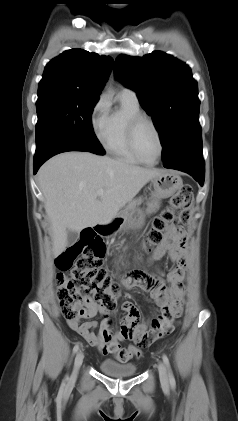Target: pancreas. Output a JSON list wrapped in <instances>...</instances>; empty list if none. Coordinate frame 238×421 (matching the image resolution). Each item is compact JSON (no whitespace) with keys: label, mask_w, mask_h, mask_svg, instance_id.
I'll use <instances>...</instances> for the list:
<instances>
[{"label":"pancreas","mask_w":238,"mask_h":421,"mask_svg":"<svg viewBox=\"0 0 238 421\" xmlns=\"http://www.w3.org/2000/svg\"><path fill=\"white\" fill-rule=\"evenodd\" d=\"M141 202H142V199H141V198H139V199H136V200H133V201L129 202V204H128V205L125 207V209L122 211V214H123V215H127V214H128V211H130V210H132L133 208H135V206H136V205L141 204Z\"/></svg>","instance_id":"pancreas-1"}]
</instances>
